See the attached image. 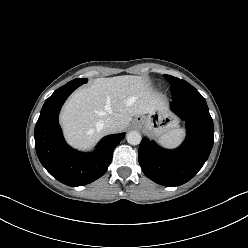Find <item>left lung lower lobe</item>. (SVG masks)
Wrapping results in <instances>:
<instances>
[{
	"label": "left lung lower lobe",
	"mask_w": 248,
	"mask_h": 248,
	"mask_svg": "<svg viewBox=\"0 0 248 248\" xmlns=\"http://www.w3.org/2000/svg\"><path fill=\"white\" fill-rule=\"evenodd\" d=\"M171 109L186 121L185 141L175 150H166L143 138L138 159L144 174L154 182L179 186L192 179L208 159L214 127L201 94L172 97Z\"/></svg>",
	"instance_id": "1"
}]
</instances>
